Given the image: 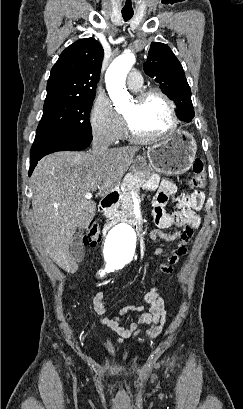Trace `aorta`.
I'll return each instance as SVG.
<instances>
[{"label":"aorta","instance_id":"obj_1","mask_svg":"<svg viewBox=\"0 0 243 409\" xmlns=\"http://www.w3.org/2000/svg\"><path fill=\"white\" fill-rule=\"evenodd\" d=\"M134 54L128 52L115 58L105 74L108 94L116 107L129 102V94L125 87L126 76L134 65ZM136 240L134 228L127 223L114 226L107 234L104 253L108 261H115L129 254Z\"/></svg>","mask_w":243,"mask_h":409}]
</instances>
